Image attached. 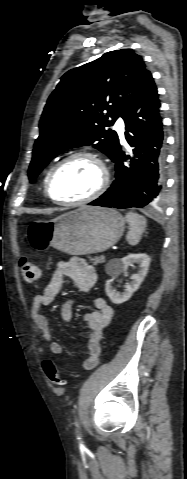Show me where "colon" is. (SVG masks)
<instances>
[{"mask_svg":"<svg viewBox=\"0 0 187 479\" xmlns=\"http://www.w3.org/2000/svg\"><path fill=\"white\" fill-rule=\"evenodd\" d=\"M19 267L24 282L28 284L36 282L41 275L40 267L27 258H22L20 260ZM43 370L52 384L58 387L65 385V381L61 377L60 370L51 360H45L43 362Z\"/></svg>","mask_w":187,"mask_h":479,"instance_id":"obj_1","label":"colon"}]
</instances>
